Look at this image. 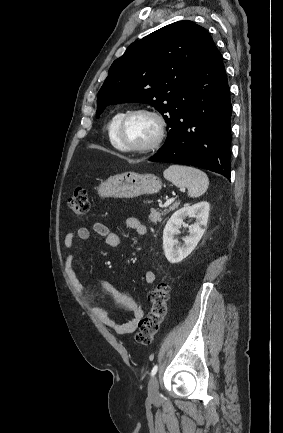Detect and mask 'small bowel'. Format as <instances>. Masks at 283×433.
<instances>
[{
    "instance_id": "small-bowel-1",
    "label": "small bowel",
    "mask_w": 283,
    "mask_h": 433,
    "mask_svg": "<svg viewBox=\"0 0 283 433\" xmlns=\"http://www.w3.org/2000/svg\"><path fill=\"white\" fill-rule=\"evenodd\" d=\"M125 225L127 228L134 230L140 236L147 234V227L137 218L130 217L126 219ZM93 233L103 237L105 243L110 247H116L120 244V236L118 233L111 231L103 223L96 222L92 225L91 229L80 227L76 232L67 233L64 238V246L66 249H71L76 239L89 240ZM65 272L74 289L86 300L89 310L96 315L105 326L121 335L131 334L137 330L139 322L145 315V311L136 300L125 293L117 292V299L132 312V317L130 319L118 321L105 308L97 305L89 296L84 284L80 281L74 269L73 254H68L66 257ZM144 280L147 284H153L155 281V273L148 270L144 275ZM101 287L104 291L108 292L112 289V286L107 282H102Z\"/></svg>"
}]
</instances>
